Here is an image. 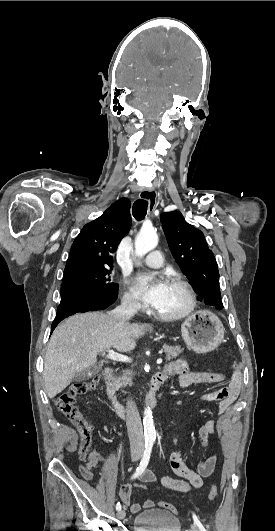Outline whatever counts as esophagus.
<instances>
[{
	"instance_id": "34e87169",
	"label": "esophagus",
	"mask_w": 275,
	"mask_h": 531,
	"mask_svg": "<svg viewBox=\"0 0 275 531\" xmlns=\"http://www.w3.org/2000/svg\"><path fill=\"white\" fill-rule=\"evenodd\" d=\"M140 197L149 203V211L152 213L157 205V191L153 188H146L140 193Z\"/></svg>"
}]
</instances>
